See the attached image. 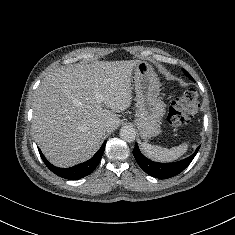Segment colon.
Listing matches in <instances>:
<instances>
[{"mask_svg":"<svg viewBox=\"0 0 235 235\" xmlns=\"http://www.w3.org/2000/svg\"><path fill=\"white\" fill-rule=\"evenodd\" d=\"M197 93L188 89L178 96L169 106L168 122L174 127L188 124L198 109Z\"/></svg>","mask_w":235,"mask_h":235,"instance_id":"1","label":"colon"}]
</instances>
